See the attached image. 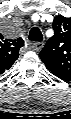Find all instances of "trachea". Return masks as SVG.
<instances>
[{
    "mask_svg": "<svg viewBox=\"0 0 71 119\" xmlns=\"http://www.w3.org/2000/svg\"><path fill=\"white\" fill-rule=\"evenodd\" d=\"M29 40L38 41V42L43 40V35L38 27H33L30 30Z\"/></svg>",
    "mask_w": 71,
    "mask_h": 119,
    "instance_id": "obj_1",
    "label": "trachea"
}]
</instances>
